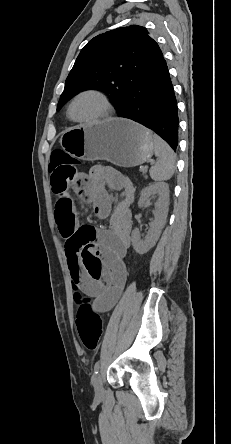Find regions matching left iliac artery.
I'll list each match as a JSON object with an SVG mask.
<instances>
[{"label":"left iliac artery","mask_w":231,"mask_h":444,"mask_svg":"<svg viewBox=\"0 0 231 444\" xmlns=\"http://www.w3.org/2000/svg\"><path fill=\"white\" fill-rule=\"evenodd\" d=\"M99 366H100V364H99V362L97 361V362L95 363V365H94V372H95L96 374L98 373Z\"/></svg>","instance_id":"1"}]
</instances>
